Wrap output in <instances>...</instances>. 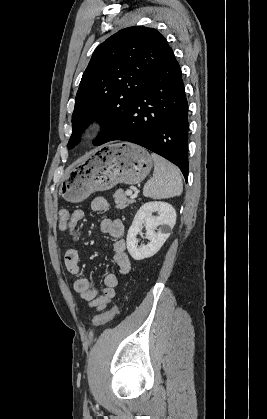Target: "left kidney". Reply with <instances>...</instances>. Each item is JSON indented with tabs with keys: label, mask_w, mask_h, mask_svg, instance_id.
I'll use <instances>...</instances> for the list:
<instances>
[{
	"label": "left kidney",
	"mask_w": 267,
	"mask_h": 419,
	"mask_svg": "<svg viewBox=\"0 0 267 419\" xmlns=\"http://www.w3.org/2000/svg\"><path fill=\"white\" fill-rule=\"evenodd\" d=\"M157 213L158 216H154ZM176 221V211L167 202H147L137 211L127 234V250L134 260H143L156 254L170 236ZM146 227L147 245L138 246L137 234ZM160 226L157 232L155 230Z\"/></svg>",
	"instance_id": "5707ae66"
}]
</instances>
